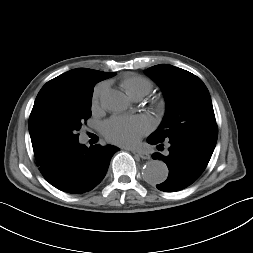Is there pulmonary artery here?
I'll return each mask as SVG.
<instances>
[{
	"label": "pulmonary artery",
	"instance_id": "e3ab8cb5",
	"mask_svg": "<svg viewBox=\"0 0 253 253\" xmlns=\"http://www.w3.org/2000/svg\"><path fill=\"white\" fill-rule=\"evenodd\" d=\"M142 98V96H136V97H134L133 99H135V100H140Z\"/></svg>",
	"mask_w": 253,
	"mask_h": 253
}]
</instances>
